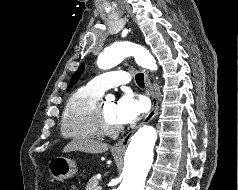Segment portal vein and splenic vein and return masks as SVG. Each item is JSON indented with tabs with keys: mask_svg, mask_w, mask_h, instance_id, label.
<instances>
[{
	"mask_svg": "<svg viewBox=\"0 0 238 190\" xmlns=\"http://www.w3.org/2000/svg\"><path fill=\"white\" fill-rule=\"evenodd\" d=\"M98 190H102V187H101V186H99V187H98Z\"/></svg>",
	"mask_w": 238,
	"mask_h": 190,
	"instance_id": "obj_1",
	"label": "portal vein and splenic vein"
}]
</instances>
